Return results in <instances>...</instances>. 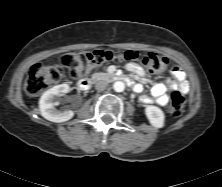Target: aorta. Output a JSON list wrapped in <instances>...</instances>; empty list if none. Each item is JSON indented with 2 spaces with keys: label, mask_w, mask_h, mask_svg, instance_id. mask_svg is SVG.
Listing matches in <instances>:
<instances>
[{
  "label": "aorta",
  "mask_w": 222,
  "mask_h": 187,
  "mask_svg": "<svg viewBox=\"0 0 222 187\" xmlns=\"http://www.w3.org/2000/svg\"><path fill=\"white\" fill-rule=\"evenodd\" d=\"M113 89H114L116 92H123L124 89H125V84H124L122 81H116V82L113 84Z\"/></svg>",
  "instance_id": "aorta-1"
}]
</instances>
